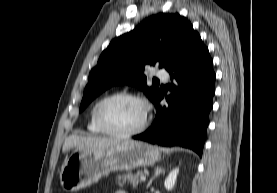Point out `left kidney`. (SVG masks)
Segmentation results:
<instances>
[{"label": "left kidney", "mask_w": 277, "mask_h": 193, "mask_svg": "<svg viewBox=\"0 0 277 193\" xmlns=\"http://www.w3.org/2000/svg\"><path fill=\"white\" fill-rule=\"evenodd\" d=\"M178 173L179 168H175L169 173V175L165 179L164 186L168 191L174 188Z\"/></svg>", "instance_id": "left-kidney-1"}]
</instances>
